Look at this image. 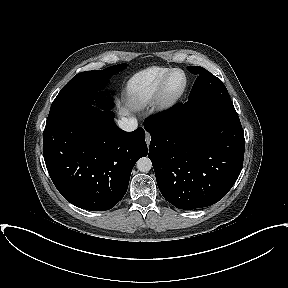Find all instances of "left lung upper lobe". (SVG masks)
<instances>
[{"mask_svg":"<svg viewBox=\"0 0 288 288\" xmlns=\"http://www.w3.org/2000/svg\"><path fill=\"white\" fill-rule=\"evenodd\" d=\"M187 69L198 75L188 102L194 105L212 106L229 112H236L228 91L219 78L199 66H188Z\"/></svg>","mask_w":288,"mask_h":288,"instance_id":"left-lung-upper-lobe-1","label":"left lung upper lobe"}]
</instances>
